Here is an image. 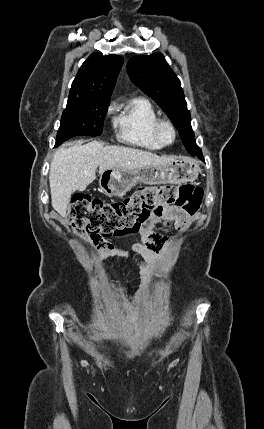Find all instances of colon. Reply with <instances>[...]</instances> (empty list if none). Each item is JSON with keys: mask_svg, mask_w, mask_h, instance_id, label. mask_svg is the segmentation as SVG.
Wrapping results in <instances>:
<instances>
[{"mask_svg": "<svg viewBox=\"0 0 264 429\" xmlns=\"http://www.w3.org/2000/svg\"><path fill=\"white\" fill-rule=\"evenodd\" d=\"M203 189L193 185L140 187L120 201L105 202L89 195L72 198L67 223L75 232L98 239L131 234L166 206L194 215L202 204Z\"/></svg>", "mask_w": 264, "mask_h": 429, "instance_id": "colon-1", "label": "colon"}]
</instances>
